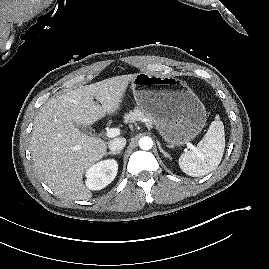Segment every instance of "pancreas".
<instances>
[{
    "label": "pancreas",
    "mask_w": 269,
    "mask_h": 269,
    "mask_svg": "<svg viewBox=\"0 0 269 269\" xmlns=\"http://www.w3.org/2000/svg\"><path fill=\"white\" fill-rule=\"evenodd\" d=\"M145 118V114L141 112L139 109H135L133 111H130L128 114L124 116L125 122H135L138 120H141Z\"/></svg>",
    "instance_id": "1"
}]
</instances>
